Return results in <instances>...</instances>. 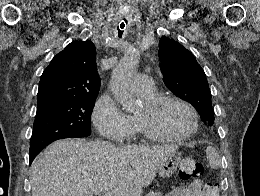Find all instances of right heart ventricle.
I'll use <instances>...</instances> for the list:
<instances>
[{
	"label": "right heart ventricle",
	"instance_id": "1",
	"mask_svg": "<svg viewBox=\"0 0 260 196\" xmlns=\"http://www.w3.org/2000/svg\"><path fill=\"white\" fill-rule=\"evenodd\" d=\"M136 93L145 102H148V101L157 97V92H156L155 89H153V91H151L149 93H142V92H136ZM131 119H132V122H133L134 129H138L136 117L133 116V117H131Z\"/></svg>",
	"mask_w": 260,
	"mask_h": 196
}]
</instances>
